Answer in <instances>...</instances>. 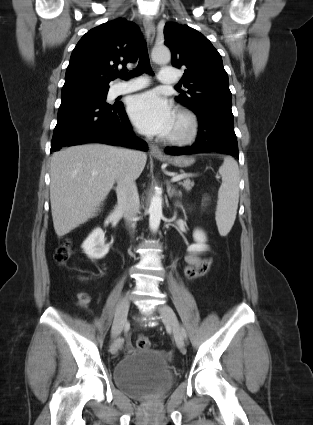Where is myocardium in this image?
<instances>
[{
  "instance_id": "obj_1",
  "label": "myocardium",
  "mask_w": 313,
  "mask_h": 425,
  "mask_svg": "<svg viewBox=\"0 0 313 425\" xmlns=\"http://www.w3.org/2000/svg\"><path fill=\"white\" fill-rule=\"evenodd\" d=\"M175 118L182 124L178 131L170 133L166 140L172 144H188L198 135L199 122L196 115L188 110L180 109L176 112Z\"/></svg>"
}]
</instances>
